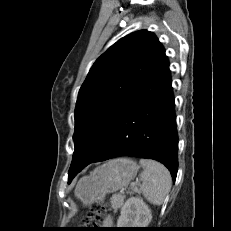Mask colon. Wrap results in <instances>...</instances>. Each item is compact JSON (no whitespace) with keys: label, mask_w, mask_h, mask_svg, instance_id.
Listing matches in <instances>:
<instances>
[{"label":"colon","mask_w":231,"mask_h":231,"mask_svg":"<svg viewBox=\"0 0 231 231\" xmlns=\"http://www.w3.org/2000/svg\"><path fill=\"white\" fill-rule=\"evenodd\" d=\"M106 211L107 205L105 203L101 202L94 204L85 219V223L93 225L100 224Z\"/></svg>","instance_id":"1"}]
</instances>
